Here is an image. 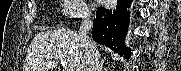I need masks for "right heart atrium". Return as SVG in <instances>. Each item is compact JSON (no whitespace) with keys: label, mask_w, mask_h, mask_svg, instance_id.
<instances>
[{"label":"right heart atrium","mask_w":181,"mask_h":71,"mask_svg":"<svg viewBox=\"0 0 181 71\" xmlns=\"http://www.w3.org/2000/svg\"><path fill=\"white\" fill-rule=\"evenodd\" d=\"M64 14L69 18L85 17L87 8L81 0H67L64 2Z\"/></svg>","instance_id":"1"}]
</instances>
